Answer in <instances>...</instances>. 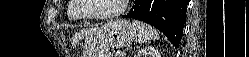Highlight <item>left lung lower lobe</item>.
I'll return each mask as SVG.
<instances>
[{
	"label": "left lung lower lobe",
	"instance_id": "left-lung-lower-lobe-1",
	"mask_svg": "<svg viewBox=\"0 0 249 57\" xmlns=\"http://www.w3.org/2000/svg\"><path fill=\"white\" fill-rule=\"evenodd\" d=\"M187 5L188 0H135V5L123 17L156 27L177 48L182 38Z\"/></svg>",
	"mask_w": 249,
	"mask_h": 57
}]
</instances>
